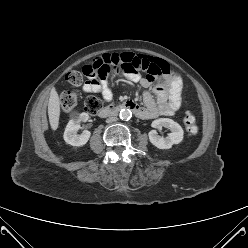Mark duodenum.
Masks as SVG:
<instances>
[{"instance_id":"1","label":"duodenum","mask_w":248,"mask_h":248,"mask_svg":"<svg viewBox=\"0 0 248 248\" xmlns=\"http://www.w3.org/2000/svg\"><path fill=\"white\" fill-rule=\"evenodd\" d=\"M125 108L131 109L136 114H139L140 112V107L137 104L129 101V102H125L118 106L104 107L98 112V116L101 118L112 116V115L119 113L122 109H125Z\"/></svg>"}]
</instances>
